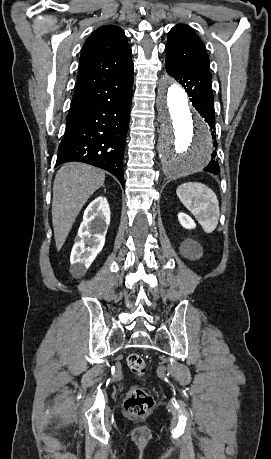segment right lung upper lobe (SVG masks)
<instances>
[{
	"label": "right lung upper lobe",
	"mask_w": 271,
	"mask_h": 459,
	"mask_svg": "<svg viewBox=\"0 0 271 459\" xmlns=\"http://www.w3.org/2000/svg\"><path fill=\"white\" fill-rule=\"evenodd\" d=\"M131 53L124 31L120 27L104 25L98 28L83 46L76 91L72 100L104 83L133 73Z\"/></svg>",
	"instance_id": "obj_1"
}]
</instances>
